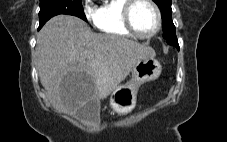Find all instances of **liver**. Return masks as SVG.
<instances>
[{"instance_id":"obj_1","label":"liver","mask_w":227,"mask_h":142,"mask_svg":"<svg viewBox=\"0 0 227 142\" xmlns=\"http://www.w3.org/2000/svg\"><path fill=\"white\" fill-rule=\"evenodd\" d=\"M35 55L52 104L60 112L76 114L88 101L107 98L140 60L156 53L125 37L94 33L80 18L58 15L38 33ZM68 68L86 73V78L62 81Z\"/></svg>"}]
</instances>
